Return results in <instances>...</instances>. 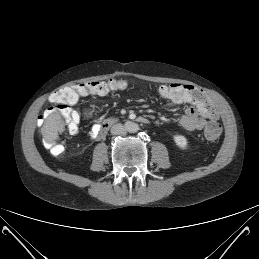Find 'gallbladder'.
<instances>
[{
  "mask_svg": "<svg viewBox=\"0 0 259 259\" xmlns=\"http://www.w3.org/2000/svg\"><path fill=\"white\" fill-rule=\"evenodd\" d=\"M82 118L85 121H92L95 118V111L92 108H85L82 111Z\"/></svg>",
  "mask_w": 259,
  "mask_h": 259,
  "instance_id": "1",
  "label": "gallbladder"
}]
</instances>
